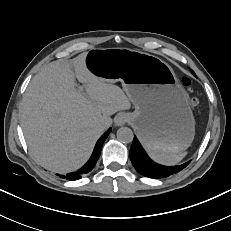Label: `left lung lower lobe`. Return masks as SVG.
<instances>
[{
  "label": "left lung lower lobe",
  "mask_w": 231,
  "mask_h": 231,
  "mask_svg": "<svg viewBox=\"0 0 231 231\" xmlns=\"http://www.w3.org/2000/svg\"><path fill=\"white\" fill-rule=\"evenodd\" d=\"M130 159L133 166L138 173L149 178H165L170 175L176 174L182 169H184L189 162H186L179 166H162L154 163L145 153L141 147L138 139L134 137L131 149H130Z\"/></svg>",
  "instance_id": "left-lung-lower-lobe-1"
}]
</instances>
